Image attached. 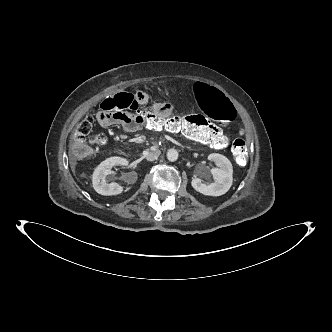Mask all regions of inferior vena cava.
<instances>
[{
  "mask_svg": "<svg viewBox=\"0 0 332 332\" xmlns=\"http://www.w3.org/2000/svg\"><path fill=\"white\" fill-rule=\"evenodd\" d=\"M159 155H160L159 151H152L146 156V159L147 161H154L158 158Z\"/></svg>",
  "mask_w": 332,
  "mask_h": 332,
  "instance_id": "602c4592",
  "label": "inferior vena cava"
}]
</instances>
